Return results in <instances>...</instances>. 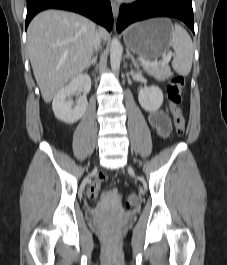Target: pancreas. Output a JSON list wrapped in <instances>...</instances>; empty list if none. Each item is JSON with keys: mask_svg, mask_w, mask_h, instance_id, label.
I'll return each instance as SVG.
<instances>
[{"mask_svg": "<svg viewBox=\"0 0 227 265\" xmlns=\"http://www.w3.org/2000/svg\"><path fill=\"white\" fill-rule=\"evenodd\" d=\"M145 70L159 81H165L172 75L170 67L167 64L162 66L145 67Z\"/></svg>", "mask_w": 227, "mask_h": 265, "instance_id": "obj_1", "label": "pancreas"}]
</instances>
